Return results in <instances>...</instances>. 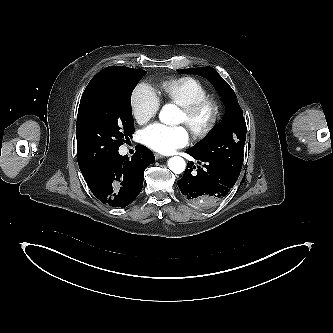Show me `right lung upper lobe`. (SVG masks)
I'll use <instances>...</instances> for the list:
<instances>
[{"label":"right lung upper lobe","mask_w":333,"mask_h":333,"mask_svg":"<svg viewBox=\"0 0 333 333\" xmlns=\"http://www.w3.org/2000/svg\"><path fill=\"white\" fill-rule=\"evenodd\" d=\"M117 67H121V66H109V67L103 69L102 71H100L99 73H97L96 76H97L98 74H100L101 72H104V71L109 70V69H112V68H117ZM94 77H95V76H94ZM94 77H93V78H94ZM84 96H85V91H84V93H83V95H82V98H81V101H80V105H79V109H78V111H80L81 108H82V106H83V103H84ZM88 170H89V169H84V170H81V172L84 173V172H86V171H88Z\"/></svg>","instance_id":"1"}]
</instances>
